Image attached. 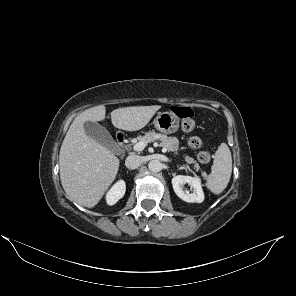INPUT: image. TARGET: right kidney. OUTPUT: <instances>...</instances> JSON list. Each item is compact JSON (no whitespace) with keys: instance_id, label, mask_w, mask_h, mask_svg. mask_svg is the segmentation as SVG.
<instances>
[{"instance_id":"right-kidney-1","label":"right kidney","mask_w":296,"mask_h":296,"mask_svg":"<svg viewBox=\"0 0 296 296\" xmlns=\"http://www.w3.org/2000/svg\"><path fill=\"white\" fill-rule=\"evenodd\" d=\"M126 191V185L123 180H119L107 193L106 201L108 205H114L121 199Z\"/></svg>"}]
</instances>
